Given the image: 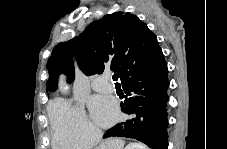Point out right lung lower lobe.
Wrapping results in <instances>:
<instances>
[{
  "label": "right lung lower lobe",
  "mask_w": 227,
  "mask_h": 149,
  "mask_svg": "<svg viewBox=\"0 0 227 149\" xmlns=\"http://www.w3.org/2000/svg\"><path fill=\"white\" fill-rule=\"evenodd\" d=\"M167 75L165 57H162L156 64L137 70L124 79L122 87L127 98L121 109L130 117L107 130L103 138H134L152 149H167Z\"/></svg>",
  "instance_id": "right-lung-lower-lobe-1"
}]
</instances>
